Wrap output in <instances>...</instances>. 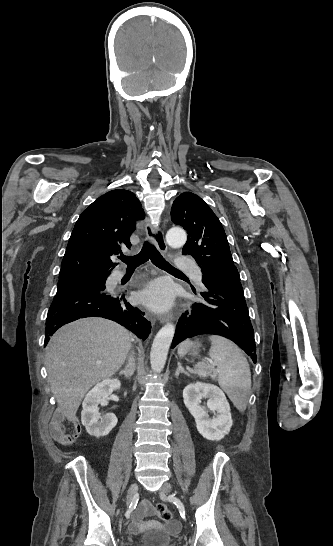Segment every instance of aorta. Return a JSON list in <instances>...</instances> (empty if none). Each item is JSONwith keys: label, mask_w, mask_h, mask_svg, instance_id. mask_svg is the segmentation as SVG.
I'll return each mask as SVG.
<instances>
[{"label": "aorta", "mask_w": 333, "mask_h": 546, "mask_svg": "<svg viewBox=\"0 0 333 546\" xmlns=\"http://www.w3.org/2000/svg\"><path fill=\"white\" fill-rule=\"evenodd\" d=\"M186 240V232L179 227L169 229L166 234V241L172 248L182 247L186 243ZM174 333L175 326L167 323L155 336L150 352V363L154 373H160L163 370Z\"/></svg>", "instance_id": "1"}]
</instances>
